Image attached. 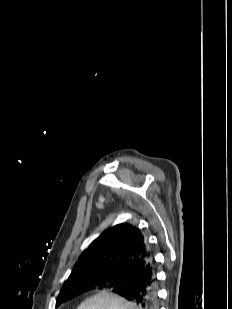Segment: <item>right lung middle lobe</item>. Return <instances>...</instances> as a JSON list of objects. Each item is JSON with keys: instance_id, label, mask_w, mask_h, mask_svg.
Instances as JSON below:
<instances>
[{"instance_id": "obj_1", "label": "right lung middle lobe", "mask_w": 232, "mask_h": 309, "mask_svg": "<svg viewBox=\"0 0 232 309\" xmlns=\"http://www.w3.org/2000/svg\"><path fill=\"white\" fill-rule=\"evenodd\" d=\"M116 282L117 284L127 281L123 274H116L108 271H89L76 275L63 285L56 301V306L66 302L85 291L101 286L107 282Z\"/></svg>"}]
</instances>
